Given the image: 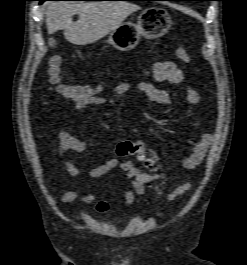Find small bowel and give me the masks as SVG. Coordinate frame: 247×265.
I'll return each instance as SVG.
<instances>
[{"label": "small bowel", "mask_w": 247, "mask_h": 265, "mask_svg": "<svg viewBox=\"0 0 247 265\" xmlns=\"http://www.w3.org/2000/svg\"><path fill=\"white\" fill-rule=\"evenodd\" d=\"M153 78L157 82H168L173 85H178L185 80V75L173 61H159L153 66ZM132 88L141 92L149 101L161 105L165 113L171 110L172 99L170 93L166 89L159 88L150 82L141 81L135 84L122 82L113 86L110 89V93L112 95H122ZM182 96L192 105H198L202 101L201 95L189 87H184L182 89ZM106 104L114 106L115 101L112 98H108ZM85 107L87 106L82 103H74L73 105L74 110H82ZM58 138V153L64 157L68 173L73 177L80 176L79 168L70 160L68 154L71 151L76 153L84 152L87 147L86 143L66 130H60ZM212 141L213 135L211 133L203 134L198 140L187 141L191 146V150L181 161V168L184 170H193L197 167L205 158ZM117 167L126 173L131 182V187L126 189L123 193L126 205H132L136 195H143L148 184L166 178L165 173L150 174L138 168L133 161L126 160L120 162L116 157H111L103 163L93 167L88 174L91 178L97 179L105 176ZM78 195V189L68 190L62 194L61 201L63 203H72L77 199ZM79 201L82 204L94 203V209L98 213H105L110 209L109 202L99 199V195L96 191L83 196Z\"/></svg>", "instance_id": "obj_1"}]
</instances>
